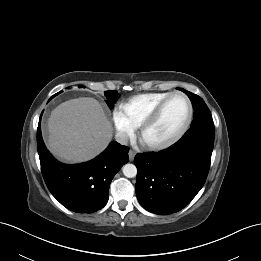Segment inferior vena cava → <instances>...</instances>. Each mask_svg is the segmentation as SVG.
Masks as SVG:
<instances>
[{"label": "inferior vena cava", "mask_w": 261, "mask_h": 261, "mask_svg": "<svg viewBox=\"0 0 261 261\" xmlns=\"http://www.w3.org/2000/svg\"><path fill=\"white\" fill-rule=\"evenodd\" d=\"M115 139L118 143L122 144V145H126L128 143V135L126 133H117L115 135Z\"/></svg>", "instance_id": "602c4592"}]
</instances>
